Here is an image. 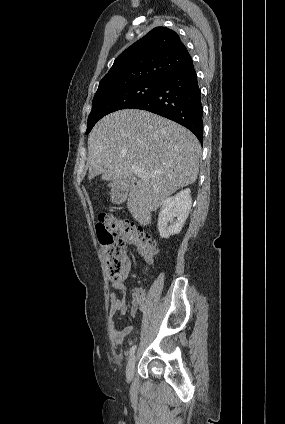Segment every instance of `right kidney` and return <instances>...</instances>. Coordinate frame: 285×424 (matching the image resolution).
<instances>
[{
  "instance_id": "1",
  "label": "right kidney",
  "mask_w": 285,
  "mask_h": 424,
  "mask_svg": "<svg viewBox=\"0 0 285 424\" xmlns=\"http://www.w3.org/2000/svg\"><path fill=\"white\" fill-rule=\"evenodd\" d=\"M192 206L191 190L184 189L175 196L164 200L158 216V230L161 238L179 234ZM176 218V220H174Z\"/></svg>"
}]
</instances>
